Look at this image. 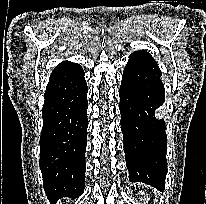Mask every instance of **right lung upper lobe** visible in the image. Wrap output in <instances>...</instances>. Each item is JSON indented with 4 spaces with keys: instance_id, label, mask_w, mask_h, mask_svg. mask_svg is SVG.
<instances>
[{
    "instance_id": "cb5924a9",
    "label": "right lung upper lobe",
    "mask_w": 206,
    "mask_h": 204,
    "mask_svg": "<svg viewBox=\"0 0 206 204\" xmlns=\"http://www.w3.org/2000/svg\"><path fill=\"white\" fill-rule=\"evenodd\" d=\"M67 63H69V62H62V63H60L56 68H58V67H60V66H63V65H65V64H67Z\"/></svg>"
}]
</instances>
